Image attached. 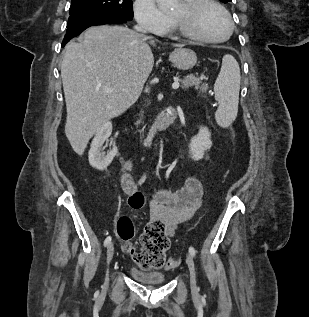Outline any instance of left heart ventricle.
<instances>
[{
	"instance_id": "1",
	"label": "left heart ventricle",
	"mask_w": 309,
	"mask_h": 317,
	"mask_svg": "<svg viewBox=\"0 0 309 317\" xmlns=\"http://www.w3.org/2000/svg\"><path fill=\"white\" fill-rule=\"evenodd\" d=\"M173 16L178 18L192 32L205 37L221 38L228 31V24L224 15L211 6L203 7L191 14L185 10L183 3L173 12Z\"/></svg>"
}]
</instances>
